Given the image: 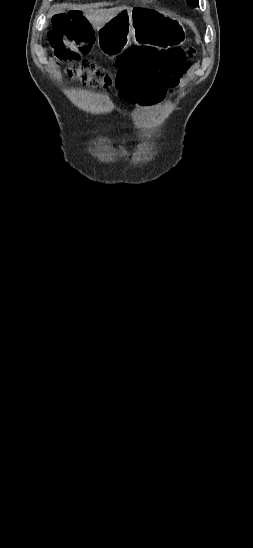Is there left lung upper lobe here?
<instances>
[{
  "instance_id": "1",
  "label": "left lung upper lobe",
  "mask_w": 253,
  "mask_h": 548,
  "mask_svg": "<svg viewBox=\"0 0 253 548\" xmlns=\"http://www.w3.org/2000/svg\"><path fill=\"white\" fill-rule=\"evenodd\" d=\"M187 3L194 8L199 6L198 0H187Z\"/></svg>"
}]
</instances>
